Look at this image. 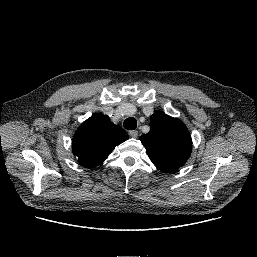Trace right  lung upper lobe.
Masks as SVG:
<instances>
[{"label":"right lung upper lobe","instance_id":"right-lung-upper-lobe-1","mask_svg":"<svg viewBox=\"0 0 257 257\" xmlns=\"http://www.w3.org/2000/svg\"><path fill=\"white\" fill-rule=\"evenodd\" d=\"M129 136L107 115L94 114L84 121L75 133L72 151L82 166L100 165L116 145Z\"/></svg>","mask_w":257,"mask_h":257}]
</instances>
